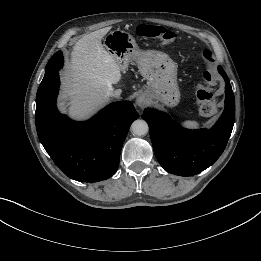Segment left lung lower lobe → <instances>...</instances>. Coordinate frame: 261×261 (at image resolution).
<instances>
[{
  "instance_id": "0a47b994",
  "label": "left lung lower lobe",
  "mask_w": 261,
  "mask_h": 261,
  "mask_svg": "<svg viewBox=\"0 0 261 261\" xmlns=\"http://www.w3.org/2000/svg\"><path fill=\"white\" fill-rule=\"evenodd\" d=\"M219 73L226 81L225 109L210 129L187 130L176 124L166 113L144 110L155 156L169 173L179 176L196 175L211 166L224 151L235 120L232 87L221 66Z\"/></svg>"
}]
</instances>
